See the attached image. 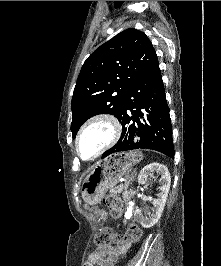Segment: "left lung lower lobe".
I'll return each instance as SVG.
<instances>
[{"mask_svg":"<svg viewBox=\"0 0 221 266\" xmlns=\"http://www.w3.org/2000/svg\"><path fill=\"white\" fill-rule=\"evenodd\" d=\"M139 117L145 125L140 123ZM119 121L123 127L121 137L116 145L103 153L102 158L139 148L153 149L173 158L172 126L159 66L131 86ZM135 122L140 136L137 143L132 141L137 130Z\"/></svg>","mask_w":221,"mask_h":266,"instance_id":"0a47b994","label":"left lung lower lobe"}]
</instances>
